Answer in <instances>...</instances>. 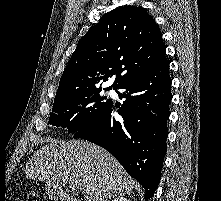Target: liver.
Masks as SVG:
<instances>
[{
    "instance_id": "6515ba94",
    "label": "liver",
    "mask_w": 221,
    "mask_h": 201,
    "mask_svg": "<svg viewBox=\"0 0 221 201\" xmlns=\"http://www.w3.org/2000/svg\"><path fill=\"white\" fill-rule=\"evenodd\" d=\"M46 142L26 164L25 175L29 179L54 188L79 180L85 201L123 196L136 186L121 164L99 146L83 140Z\"/></svg>"
}]
</instances>
